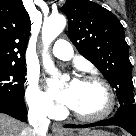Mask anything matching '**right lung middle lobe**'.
Wrapping results in <instances>:
<instances>
[{"instance_id": "right-lung-middle-lobe-1", "label": "right lung middle lobe", "mask_w": 136, "mask_h": 136, "mask_svg": "<svg viewBox=\"0 0 136 136\" xmlns=\"http://www.w3.org/2000/svg\"><path fill=\"white\" fill-rule=\"evenodd\" d=\"M25 64H0V103H23Z\"/></svg>"}]
</instances>
